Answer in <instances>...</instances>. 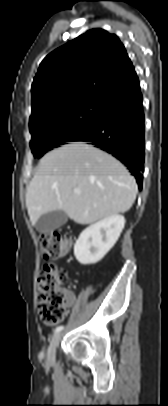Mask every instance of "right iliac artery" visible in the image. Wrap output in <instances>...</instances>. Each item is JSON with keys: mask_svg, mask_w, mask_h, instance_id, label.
I'll return each mask as SVG.
<instances>
[{"mask_svg": "<svg viewBox=\"0 0 168 406\" xmlns=\"http://www.w3.org/2000/svg\"><path fill=\"white\" fill-rule=\"evenodd\" d=\"M63 329H64V326L61 325V326L56 327L54 332L57 333V332L62 331Z\"/></svg>", "mask_w": 168, "mask_h": 406, "instance_id": "1", "label": "right iliac artery"}]
</instances>
